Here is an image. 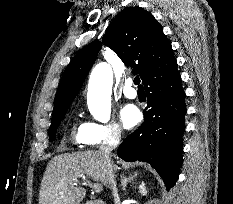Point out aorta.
Listing matches in <instances>:
<instances>
[{"instance_id":"obj_1","label":"aorta","mask_w":233,"mask_h":204,"mask_svg":"<svg viewBox=\"0 0 233 204\" xmlns=\"http://www.w3.org/2000/svg\"><path fill=\"white\" fill-rule=\"evenodd\" d=\"M112 84L110 65L104 62L97 64L90 74L87 104L94 119L103 123L110 120Z\"/></svg>"}]
</instances>
